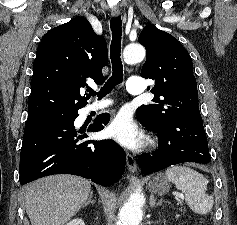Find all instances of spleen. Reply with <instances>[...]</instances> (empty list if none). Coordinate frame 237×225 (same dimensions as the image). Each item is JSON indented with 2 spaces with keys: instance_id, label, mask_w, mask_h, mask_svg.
Listing matches in <instances>:
<instances>
[{
  "instance_id": "obj_1",
  "label": "spleen",
  "mask_w": 237,
  "mask_h": 225,
  "mask_svg": "<svg viewBox=\"0 0 237 225\" xmlns=\"http://www.w3.org/2000/svg\"><path fill=\"white\" fill-rule=\"evenodd\" d=\"M166 177L185 194V200L191 210L205 215L213 207V197L206 194L208 181L201 173L187 166H173L166 170Z\"/></svg>"
}]
</instances>
